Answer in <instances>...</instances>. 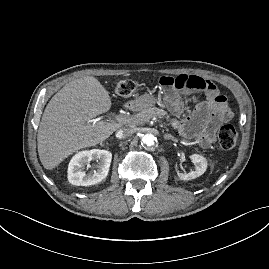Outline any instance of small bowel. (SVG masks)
<instances>
[{"mask_svg":"<svg viewBox=\"0 0 269 269\" xmlns=\"http://www.w3.org/2000/svg\"><path fill=\"white\" fill-rule=\"evenodd\" d=\"M149 86L164 92L179 89L202 90L206 100L196 105L194 110L183 120L176 122L182 135L192 138L202 147H209L215 138L217 128L232 118L227 99L220 94L214 82L194 75L159 74L149 79ZM168 108L175 114L182 110V103L177 95L172 94L167 100Z\"/></svg>","mask_w":269,"mask_h":269,"instance_id":"c3829d8e","label":"small bowel"}]
</instances>
